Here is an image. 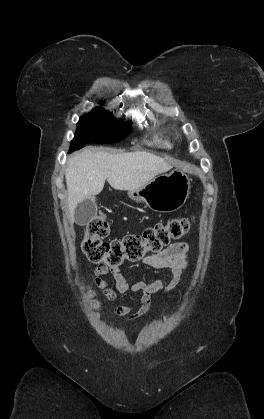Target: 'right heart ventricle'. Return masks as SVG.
Returning a JSON list of instances; mask_svg holds the SVG:
<instances>
[{"instance_id":"right-heart-ventricle-1","label":"right heart ventricle","mask_w":264,"mask_h":419,"mask_svg":"<svg viewBox=\"0 0 264 419\" xmlns=\"http://www.w3.org/2000/svg\"><path fill=\"white\" fill-rule=\"evenodd\" d=\"M150 143L160 145V146H163V147H170L171 146V143H170L169 139L167 137H164V136L158 134V133L155 134L152 137Z\"/></svg>"}]
</instances>
